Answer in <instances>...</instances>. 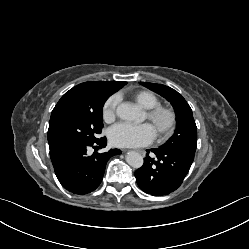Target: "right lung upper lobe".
<instances>
[{
  "label": "right lung upper lobe",
  "mask_w": 249,
  "mask_h": 249,
  "mask_svg": "<svg viewBox=\"0 0 249 249\" xmlns=\"http://www.w3.org/2000/svg\"><path fill=\"white\" fill-rule=\"evenodd\" d=\"M125 84L126 82L123 81H91L81 83L66 92L54 107L50 117L48 129L50 157H54L61 151L54 141L53 130L56 122L62 115L72 110L86 107L90 96L93 94L106 92L111 95L121 89Z\"/></svg>",
  "instance_id": "right-lung-upper-lobe-1"
}]
</instances>
